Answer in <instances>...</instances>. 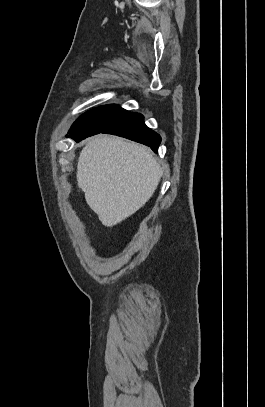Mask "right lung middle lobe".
<instances>
[{"mask_svg": "<svg viewBox=\"0 0 265 407\" xmlns=\"http://www.w3.org/2000/svg\"><path fill=\"white\" fill-rule=\"evenodd\" d=\"M129 114H131V112L117 105L102 106L80 116L72 125L69 134L76 136V138L92 136L109 128Z\"/></svg>", "mask_w": 265, "mask_h": 407, "instance_id": "right-lung-middle-lobe-1", "label": "right lung middle lobe"}]
</instances>
